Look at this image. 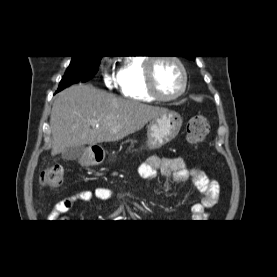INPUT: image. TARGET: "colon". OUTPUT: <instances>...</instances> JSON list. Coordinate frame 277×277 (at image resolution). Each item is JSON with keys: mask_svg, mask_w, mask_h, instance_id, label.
I'll return each mask as SVG.
<instances>
[{"mask_svg": "<svg viewBox=\"0 0 277 277\" xmlns=\"http://www.w3.org/2000/svg\"><path fill=\"white\" fill-rule=\"evenodd\" d=\"M209 122L205 115L196 114L187 122V140L192 145L202 143L209 133ZM64 180V169L59 165H53L44 170L40 177L39 183L46 188L59 187Z\"/></svg>", "mask_w": 277, "mask_h": 277, "instance_id": "1", "label": "colon"}]
</instances>
